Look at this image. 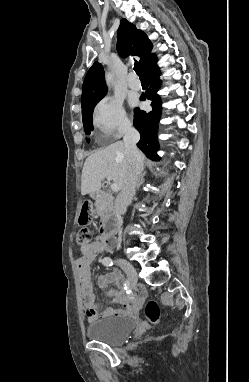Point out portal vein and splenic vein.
Returning a JSON list of instances; mask_svg holds the SVG:
<instances>
[{
    "label": "portal vein and splenic vein",
    "mask_w": 249,
    "mask_h": 382,
    "mask_svg": "<svg viewBox=\"0 0 249 382\" xmlns=\"http://www.w3.org/2000/svg\"><path fill=\"white\" fill-rule=\"evenodd\" d=\"M111 190H112L113 192H118V191H119V186H118L116 183H113V184L111 185Z\"/></svg>",
    "instance_id": "portal-vein-and-splenic-vein-1"
}]
</instances>
